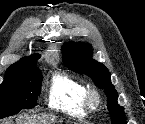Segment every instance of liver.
I'll use <instances>...</instances> for the list:
<instances>
[{
  "label": "liver",
  "instance_id": "6515ba94",
  "mask_svg": "<svg viewBox=\"0 0 145 124\" xmlns=\"http://www.w3.org/2000/svg\"><path fill=\"white\" fill-rule=\"evenodd\" d=\"M56 118L52 115H35V116H29V115H23L19 117L16 121V124H55ZM5 124H11V122H7Z\"/></svg>",
  "mask_w": 145,
  "mask_h": 124
}]
</instances>
